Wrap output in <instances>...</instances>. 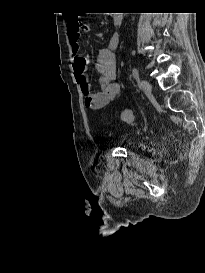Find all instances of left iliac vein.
<instances>
[{
	"mask_svg": "<svg viewBox=\"0 0 205 273\" xmlns=\"http://www.w3.org/2000/svg\"><path fill=\"white\" fill-rule=\"evenodd\" d=\"M141 88L144 91V93H146V94H149L152 89L150 83L144 79L141 81Z\"/></svg>",
	"mask_w": 205,
	"mask_h": 273,
	"instance_id": "left-iliac-vein-1",
	"label": "left iliac vein"
}]
</instances>
